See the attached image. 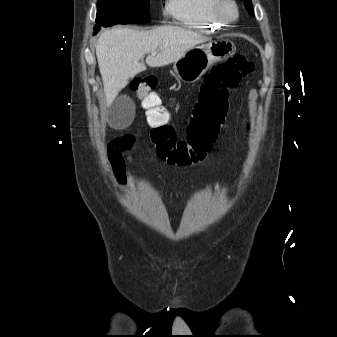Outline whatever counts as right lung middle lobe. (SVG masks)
<instances>
[{
    "label": "right lung middle lobe",
    "mask_w": 337,
    "mask_h": 337,
    "mask_svg": "<svg viewBox=\"0 0 337 337\" xmlns=\"http://www.w3.org/2000/svg\"><path fill=\"white\" fill-rule=\"evenodd\" d=\"M149 0H98L94 29L117 23H148Z\"/></svg>",
    "instance_id": "obj_1"
}]
</instances>
